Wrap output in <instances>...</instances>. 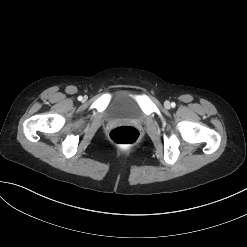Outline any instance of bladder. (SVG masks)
<instances>
[{
    "mask_svg": "<svg viewBox=\"0 0 247 247\" xmlns=\"http://www.w3.org/2000/svg\"><path fill=\"white\" fill-rule=\"evenodd\" d=\"M143 110L137 91L121 88L114 91L105 110V116L109 120L143 118Z\"/></svg>",
    "mask_w": 247,
    "mask_h": 247,
    "instance_id": "obj_1",
    "label": "bladder"
}]
</instances>
